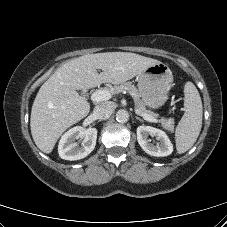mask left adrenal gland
<instances>
[{"mask_svg":"<svg viewBox=\"0 0 227 227\" xmlns=\"http://www.w3.org/2000/svg\"><path fill=\"white\" fill-rule=\"evenodd\" d=\"M135 118L137 119V120H139L140 122H144V120L143 119H141L140 117H138V116H135Z\"/></svg>","mask_w":227,"mask_h":227,"instance_id":"obj_1","label":"left adrenal gland"}]
</instances>
